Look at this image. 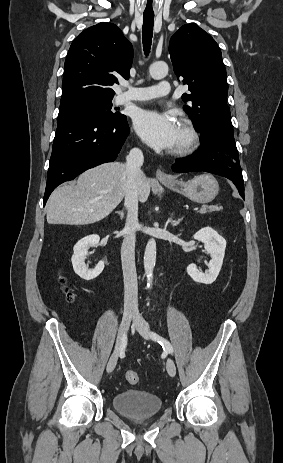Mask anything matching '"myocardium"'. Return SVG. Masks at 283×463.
<instances>
[{
    "mask_svg": "<svg viewBox=\"0 0 283 463\" xmlns=\"http://www.w3.org/2000/svg\"><path fill=\"white\" fill-rule=\"evenodd\" d=\"M178 125L182 129L185 139L180 145L171 150V154L184 156L194 152L198 148L200 135L193 122L189 119H180Z\"/></svg>",
    "mask_w": 283,
    "mask_h": 463,
    "instance_id": "1",
    "label": "myocardium"
}]
</instances>
